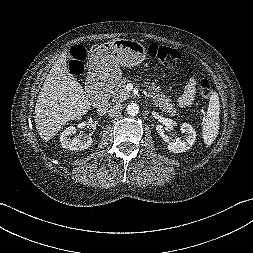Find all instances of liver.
Returning <instances> with one entry per match:
<instances>
[{
  "instance_id": "6515ba94",
  "label": "liver",
  "mask_w": 253,
  "mask_h": 253,
  "mask_svg": "<svg viewBox=\"0 0 253 253\" xmlns=\"http://www.w3.org/2000/svg\"><path fill=\"white\" fill-rule=\"evenodd\" d=\"M67 53L53 64L38 95L35 124L39 136L48 141L69 121L78 120L91 108L92 97L67 69Z\"/></svg>"
}]
</instances>
